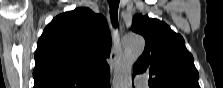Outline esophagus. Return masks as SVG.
Instances as JSON below:
<instances>
[{
	"label": "esophagus",
	"mask_w": 223,
	"mask_h": 88,
	"mask_svg": "<svg viewBox=\"0 0 223 88\" xmlns=\"http://www.w3.org/2000/svg\"><path fill=\"white\" fill-rule=\"evenodd\" d=\"M120 55H121L120 33L119 30L116 28L114 29V45L111 49L110 59H109L111 71H113V69L115 68Z\"/></svg>",
	"instance_id": "1"
}]
</instances>
